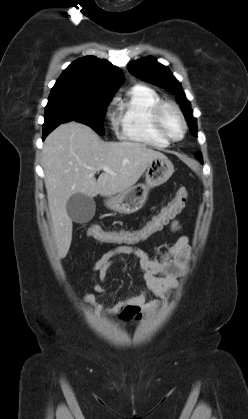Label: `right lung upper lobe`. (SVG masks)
I'll return each instance as SVG.
<instances>
[{"mask_svg":"<svg viewBox=\"0 0 248 419\" xmlns=\"http://www.w3.org/2000/svg\"><path fill=\"white\" fill-rule=\"evenodd\" d=\"M123 80V72L110 62L94 56H86L72 62L52 89L112 95Z\"/></svg>","mask_w":248,"mask_h":419,"instance_id":"1","label":"right lung upper lobe"}]
</instances>
